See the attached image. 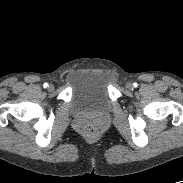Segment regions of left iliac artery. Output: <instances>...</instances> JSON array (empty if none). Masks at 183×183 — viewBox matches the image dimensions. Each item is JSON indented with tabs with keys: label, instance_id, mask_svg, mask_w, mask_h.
<instances>
[{
	"label": "left iliac artery",
	"instance_id": "1",
	"mask_svg": "<svg viewBox=\"0 0 183 183\" xmlns=\"http://www.w3.org/2000/svg\"><path fill=\"white\" fill-rule=\"evenodd\" d=\"M133 86H134V87H137V86H138V84H137V83H133Z\"/></svg>",
	"mask_w": 183,
	"mask_h": 183
}]
</instances>
